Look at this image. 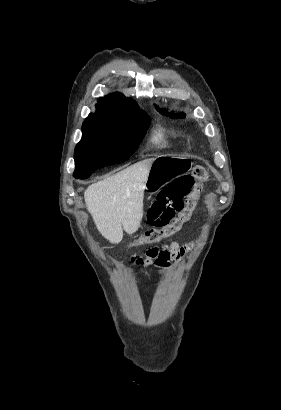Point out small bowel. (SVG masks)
Masks as SVG:
<instances>
[{"mask_svg": "<svg viewBox=\"0 0 281 410\" xmlns=\"http://www.w3.org/2000/svg\"><path fill=\"white\" fill-rule=\"evenodd\" d=\"M189 245H181L174 241L162 247L149 248L144 256L132 257V263L147 272L152 265H155L159 273H163L170 266L171 262L179 261L186 254Z\"/></svg>", "mask_w": 281, "mask_h": 410, "instance_id": "obj_1", "label": "small bowel"}]
</instances>
